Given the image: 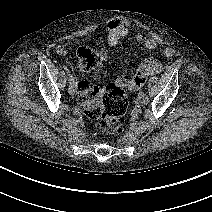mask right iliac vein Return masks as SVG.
I'll list each match as a JSON object with an SVG mask.
<instances>
[{
    "instance_id": "63e3f726",
    "label": "right iliac vein",
    "mask_w": 212,
    "mask_h": 212,
    "mask_svg": "<svg viewBox=\"0 0 212 212\" xmlns=\"http://www.w3.org/2000/svg\"><path fill=\"white\" fill-rule=\"evenodd\" d=\"M68 92H69L70 95H74L75 94L76 89H75V86H74L73 83L69 85Z\"/></svg>"
}]
</instances>
